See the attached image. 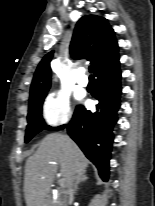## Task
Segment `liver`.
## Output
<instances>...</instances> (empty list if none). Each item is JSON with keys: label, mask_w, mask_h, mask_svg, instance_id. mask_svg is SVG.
<instances>
[{"label": "liver", "mask_w": 155, "mask_h": 206, "mask_svg": "<svg viewBox=\"0 0 155 206\" xmlns=\"http://www.w3.org/2000/svg\"><path fill=\"white\" fill-rule=\"evenodd\" d=\"M89 161L79 147L66 135L52 133L40 143L25 165L24 193L27 206H39L50 192L57 172L71 183L72 172L82 173Z\"/></svg>", "instance_id": "1"}]
</instances>
